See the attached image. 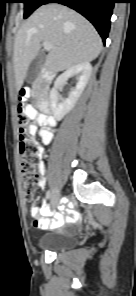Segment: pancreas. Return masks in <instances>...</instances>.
Returning a JSON list of instances; mask_svg holds the SVG:
<instances>
[{
  "label": "pancreas",
  "instance_id": "obj_1",
  "mask_svg": "<svg viewBox=\"0 0 136 296\" xmlns=\"http://www.w3.org/2000/svg\"><path fill=\"white\" fill-rule=\"evenodd\" d=\"M33 94L34 95H37L38 94V91H37V88L36 87H33Z\"/></svg>",
  "mask_w": 136,
  "mask_h": 296
}]
</instances>
